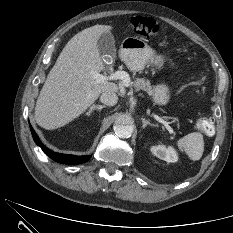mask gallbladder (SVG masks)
Wrapping results in <instances>:
<instances>
[{
  "label": "gallbladder",
  "mask_w": 233,
  "mask_h": 233,
  "mask_svg": "<svg viewBox=\"0 0 233 233\" xmlns=\"http://www.w3.org/2000/svg\"><path fill=\"white\" fill-rule=\"evenodd\" d=\"M97 47L101 56H114L116 52L115 40L111 32H104L97 41Z\"/></svg>",
  "instance_id": "obj_1"
}]
</instances>
